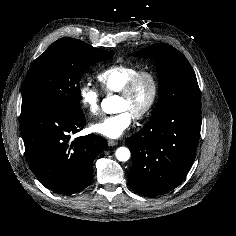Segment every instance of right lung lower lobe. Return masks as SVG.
I'll use <instances>...</instances> for the list:
<instances>
[{"instance_id":"obj_1","label":"right lung lower lobe","mask_w":236,"mask_h":236,"mask_svg":"<svg viewBox=\"0 0 236 236\" xmlns=\"http://www.w3.org/2000/svg\"><path fill=\"white\" fill-rule=\"evenodd\" d=\"M82 112L37 107L21 112V133L28 165L37 179L53 192L71 195L93 178V161L107 147L104 138L89 134L71 139L82 130Z\"/></svg>"}]
</instances>
